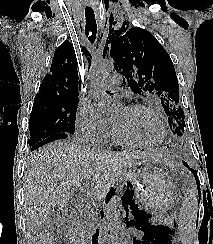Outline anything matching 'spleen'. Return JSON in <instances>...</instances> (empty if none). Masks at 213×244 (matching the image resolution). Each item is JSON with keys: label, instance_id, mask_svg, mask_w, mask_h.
I'll use <instances>...</instances> for the list:
<instances>
[{"label": "spleen", "instance_id": "1", "mask_svg": "<svg viewBox=\"0 0 213 244\" xmlns=\"http://www.w3.org/2000/svg\"><path fill=\"white\" fill-rule=\"evenodd\" d=\"M198 193L194 181L185 192L179 213V234L183 244H191L196 233Z\"/></svg>", "mask_w": 213, "mask_h": 244}]
</instances>
